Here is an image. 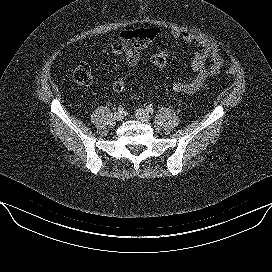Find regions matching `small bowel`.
Returning a JSON list of instances; mask_svg holds the SVG:
<instances>
[{"instance_id": "c3829d8e", "label": "small bowel", "mask_w": 272, "mask_h": 272, "mask_svg": "<svg viewBox=\"0 0 272 272\" xmlns=\"http://www.w3.org/2000/svg\"><path fill=\"white\" fill-rule=\"evenodd\" d=\"M170 35L174 39L182 40L186 46L195 45L198 47V51L195 52L191 60V68L196 73L195 78L191 81H175L172 84V90L175 93L194 94L222 69L224 59L220 47L214 42L188 32L172 30ZM111 47L115 54L125 55L131 66H136L139 63L147 49L139 39L134 37V30L122 31ZM160 53L166 56L170 55L169 50H161Z\"/></svg>"}]
</instances>
